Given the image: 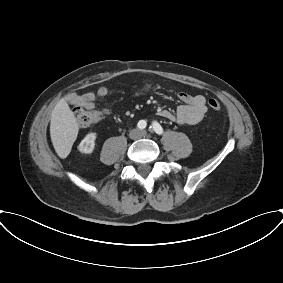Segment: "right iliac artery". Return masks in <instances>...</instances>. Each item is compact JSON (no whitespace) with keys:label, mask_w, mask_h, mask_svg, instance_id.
I'll list each match as a JSON object with an SVG mask.
<instances>
[{"label":"right iliac artery","mask_w":283,"mask_h":283,"mask_svg":"<svg viewBox=\"0 0 283 283\" xmlns=\"http://www.w3.org/2000/svg\"><path fill=\"white\" fill-rule=\"evenodd\" d=\"M137 126L139 129H144L147 126V123L145 120H140Z\"/></svg>","instance_id":"obj_1"}]
</instances>
